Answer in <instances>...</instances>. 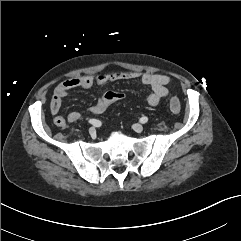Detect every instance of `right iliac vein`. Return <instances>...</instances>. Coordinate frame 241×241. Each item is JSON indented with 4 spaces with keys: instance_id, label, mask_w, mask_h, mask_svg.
I'll use <instances>...</instances> for the list:
<instances>
[{
    "instance_id": "right-iliac-vein-1",
    "label": "right iliac vein",
    "mask_w": 241,
    "mask_h": 241,
    "mask_svg": "<svg viewBox=\"0 0 241 241\" xmlns=\"http://www.w3.org/2000/svg\"><path fill=\"white\" fill-rule=\"evenodd\" d=\"M95 132H96V130H95L94 127L89 128V133H90V135L93 136V135L95 134Z\"/></svg>"
}]
</instances>
